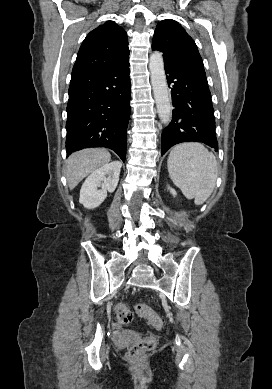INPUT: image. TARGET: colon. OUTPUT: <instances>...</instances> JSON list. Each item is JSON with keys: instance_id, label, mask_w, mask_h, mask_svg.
<instances>
[{"instance_id": "1", "label": "colon", "mask_w": 272, "mask_h": 389, "mask_svg": "<svg viewBox=\"0 0 272 389\" xmlns=\"http://www.w3.org/2000/svg\"><path fill=\"white\" fill-rule=\"evenodd\" d=\"M136 312L139 316L149 320L156 328L161 329L163 326L162 319L146 304H138ZM115 314L118 321L122 324H129L133 321V313L124 303H118L115 307ZM156 342L153 334L145 337L139 342L133 344L128 351V357L132 361H139L149 350H151Z\"/></svg>"}]
</instances>
